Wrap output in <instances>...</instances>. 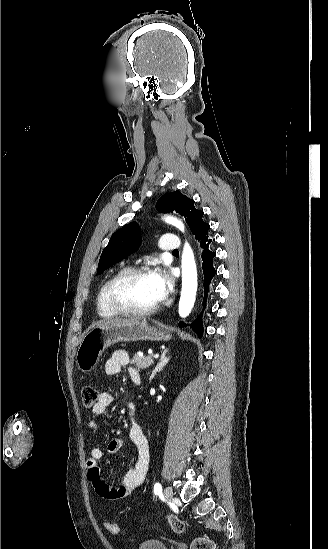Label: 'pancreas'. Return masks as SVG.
<instances>
[{
	"instance_id": "pancreas-1",
	"label": "pancreas",
	"mask_w": 328,
	"mask_h": 549,
	"mask_svg": "<svg viewBox=\"0 0 328 549\" xmlns=\"http://www.w3.org/2000/svg\"><path fill=\"white\" fill-rule=\"evenodd\" d=\"M153 355L150 357H140V355H134L131 365H135L136 369H147L150 365H153Z\"/></svg>"
}]
</instances>
